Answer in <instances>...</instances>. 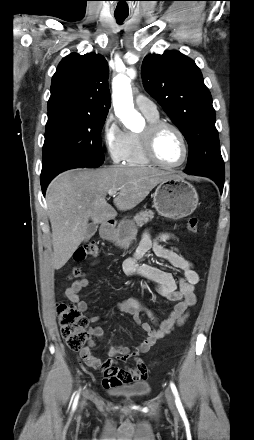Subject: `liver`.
I'll list each match as a JSON object with an SVG mask.
<instances>
[{"label":"liver","instance_id":"6515ba94","mask_svg":"<svg viewBox=\"0 0 254 440\" xmlns=\"http://www.w3.org/2000/svg\"><path fill=\"white\" fill-rule=\"evenodd\" d=\"M171 176L147 167L112 166L74 169L55 177L46 190L54 268H62L71 258L84 240L90 219L97 224L116 217V211L106 201L109 190H117L113 202L118 209L126 211L136 207L157 184Z\"/></svg>","mask_w":254,"mask_h":440}]
</instances>
